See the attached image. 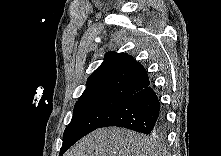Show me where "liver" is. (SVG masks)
<instances>
[{
	"instance_id": "6515ba94",
	"label": "liver",
	"mask_w": 221,
	"mask_h": 156,
	"mask_svg": "<svg viewBox=\"0 0 221 156\" xmlns=\"http://www.w3.org/2000/svg\"><path fill=\"white\" fill-rule=\"evenodd\" d=\"M160 145L138 132L118 128H102L88 134L65 156H160Z\"/></svg>"
}]
</instances>
